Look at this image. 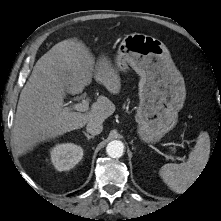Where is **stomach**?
Here are the masks:
<instances>
[{"mask_svg": "<svg viewBox=\"0 0 221 221\" xmlns=\"http://www.w3.org/2000/svg\"><path fill=\"white\" fill-rule=\"evenodd\" d=\"M117 70L128 65L140 76V104L136 115L138 134L146 143L158 142L177 123L186 90L166 46L140 33L126 35L115 58Z\"/></svg>", "mask_w": 221, "mask_h": 221, "instance_id": "stomach-1", "label": "stomach"}]
</instances>
